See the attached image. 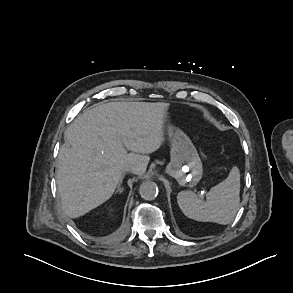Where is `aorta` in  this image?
I'll list each match as a JSON object with an SVG mask.
<instances>
[{"mask_svg":"<svg viewBox=\"0 0 293 293\" xmlns=\"http://www.w3.org/2000/svg\"><path fill=\"white\" fill-rule=\"evenodd\" d=\"M139 194L146 200H153L158 195V187L155 182L145 181L139 187Z\"/></svg>","mask_w":293,"mask_h":293,"instance_id":"aorta-1","label":"aorta"}]
</instances>
